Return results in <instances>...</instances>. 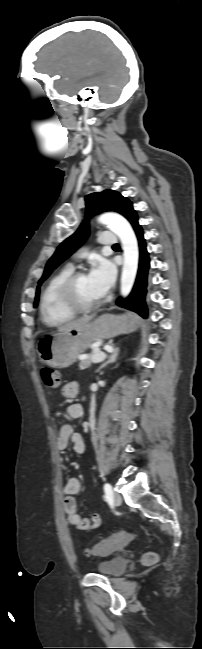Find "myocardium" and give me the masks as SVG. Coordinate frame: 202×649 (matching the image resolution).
Here are the masks:
<instances>
[{
    "label": "myocardium",
    "mask_w": 202,
    "mask_h": 649,
    "mask_svg": "<svg viewBox=\"0 0 202 649\" xmlns=\"http://www.w3.org/2000/svg\"><path fill=\"white\" fill-rule=\"evenodd\" d=\"M84 275V271H76L71 273V275L63 282L60 289L62 301L71 311L75 313L90 312L99 307L104 301L103 298H100L94 302L86 303L78 298L77 282Z\"/></svg>",
    "instance_id": "myocardium-1"
}]
</instances>
